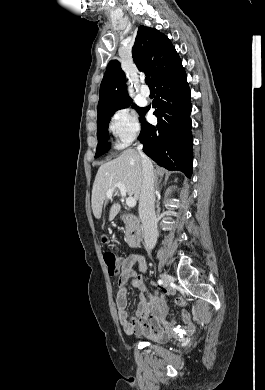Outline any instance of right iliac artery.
<instances>
[{
    "mask_svg": "<svg viewBox=\"0 0 265 390\" xmlns=\"http://www.w3.org/2000/svg\"><path fill=\"white\" fill-rule=\"evenodd\" d=\"M158 284H159V285H162V284H163V281H162V280H158Z\"/></svg>",
    "mask_w": 265,
    "mask_h": 390,
    "instance_id": "right-iliac-artery-1",
    "label": "right iliac artery"
}]
</instances>
